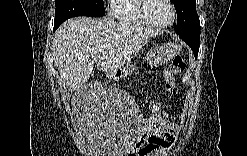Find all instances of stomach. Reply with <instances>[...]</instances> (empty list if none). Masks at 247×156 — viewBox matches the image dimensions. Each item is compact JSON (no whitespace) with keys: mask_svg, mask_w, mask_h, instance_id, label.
<instances>
[{"mask_svg":"<svg viewBox=\"0 0 247 156\" xmlns=\"http://www.w3.org/2000/svg\"><path fill=\"white\" fill-rule=\"evenodd\" d=\"M179 51V46L173 43H167L155 49L149 51L146 55L145 60L151 67H159L163 64L168 63L172 60ZM137 68L136 63L127 64V67L123 70H119L117 73H113L112 76L115 78L126 77L135 72Z\"/></svg>","mask_w":247,"mask_h":156,"instance_id":"stomach-1","label":"stomach"}]
</instances>
